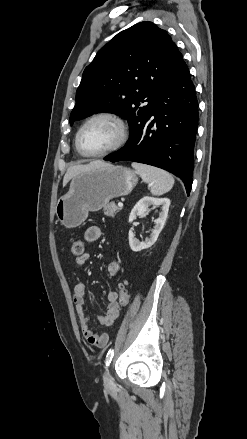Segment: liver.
<instances>
[{
    "label": "liver",
    "mask_w": 247,
    "mask_h": 439,
    "mask_svg": "<svg viewBox=\"0 0 247 439\" xmlns=\"http://www.w3.org/2000/svg\"><path fill=\"white\" fill-rule=\"evenodd\" d=\"M108 163H105L101 160L91 161L85 165H75L68 168L64 179H63V187L67 185V183L76 175H79L84 172L92 171L100 167L108 166Z\"/></svg>",
    "instance_id": "1"
}]
</instances>
